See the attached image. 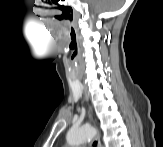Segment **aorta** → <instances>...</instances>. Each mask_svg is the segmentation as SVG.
<instances>
[{
    "label": "aorta",
    "instance_id": "762f6f07",
    "mask_svg": "<svg viewBox=\"0 0 163 147\" xmlns=\"http://www.w3.org/2000/svg\"><path fill=\"white\" fill-rule=\"evenodd\" d=\"M96 135V130L89 126L83 125L72 128L68 131L66 140L70 146H77L91 140Z\"/></svg>",
    "mask_w": 163,
    "mask_h": 147
}]
</instances>
